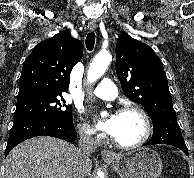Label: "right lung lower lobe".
<instances>
[{
    "instance_id": "obj_1",
    "label": "right lung lower lobe",
    "mask_w": 194,
    "mask_h": 178,
    "mask_svg": "<svg viewBox=\"0 0 194 178\" xmlns=\"http://www.w3.org/2000/svg\"><path fill=\"white\" fill-rule=\"evenodd\" d=\"M36 136H52L72 142L77 138V133L73 119L59 121L40 115L16 117L10 131L5 156L17 144Z\"/></svg>"
}]
</instances>
